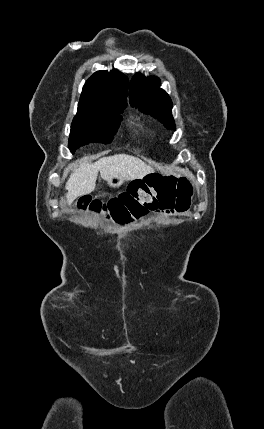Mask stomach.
Here are the masks:
<instances>
[{
    "label": "stomach",
    "instance_id": "stomach-1",
    "mask_svg": "<svg viewBox=\"0 0 264 429\" xmlns=\"http://www.w3.org/2000/svg\"><path fill=\"white\" fill-rule=\"evenodd\" d=\"M173 177H180L183 175V171L182 170H176L175 172H173ZM155 176H157V174L154 173H150L144 176L145 179L149 180L154 178ZM124 180L120 177V176H112L108 181V185L111 187H120L123 184Z\"/></svg>",
    "mask_w": 264,
    "mask_h": 429
}]
</instances>
